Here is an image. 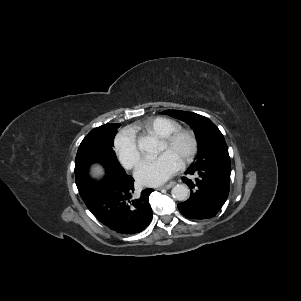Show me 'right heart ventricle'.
Listing matches in <instances>:
<instances>
[{
	"mask_svg": "<svg viewBox=\"0 0 301 301\" xmlns=\"http://www.w3.org/2000/svg\"><path fill=\"white\" fill-rule=\"evenodd\" d=\"M179 128L180 125L175 120L166 117H155L145 121L140 125H135L130 129L134 133L138 130H142L146 133H150L161 138L173 133Z\"/></svg>",
	"mask_w": 301,
	"mask_h": 301,
	"instance_id": "obj_1",
	"label": "right heart ventricle"
}]
</instances>
